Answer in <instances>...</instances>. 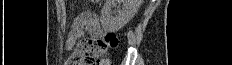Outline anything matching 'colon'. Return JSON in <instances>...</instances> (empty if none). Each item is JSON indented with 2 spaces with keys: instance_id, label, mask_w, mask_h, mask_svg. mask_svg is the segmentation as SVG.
Returning <instances> with one entry per match:
<instances>
[{
  "instance_id": "obj_1",
  "label": "colon",
  "mask_w": 232,
  "mask_h": 65,
  "mask_svg": "<svg viewBox=\"0 0 232 65\" xmlns=\"http://www.w3.org/2000/svg\"><path fill=\"white\" fill-rule=\"evenodd\" d=\"M118 44V36L108 33L98 43L91 39L82 40L78 44V52L88 65H109V60L104 55L107 50L116 48Z\"/></svg>"
}]
</instances>
